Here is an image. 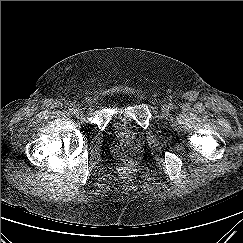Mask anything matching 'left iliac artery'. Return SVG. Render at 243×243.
<instances>
[{"label":"left iliac artery","mask_w":243,"mask_h":243,"mask_svg":"<svg viewBox=\"0 0 243 243\" xmlns=\"http://www.w3.org/2000/svg\"><path fill=\"white\" fill-rule=\"evenodd\" d=\"M168 109L172 110L173 109V104L168 105Z\"/></svg>","instance_id":"44dca946"}]
</instances>
